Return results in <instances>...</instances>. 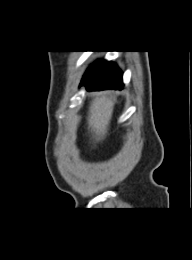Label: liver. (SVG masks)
<instances>
[{"instance_id":"liver-1","label":"liver","mask_w":192,"mask_h":260,"mask_svg":"<svg viewBox=\"0 0 192 260\" xmlns=\"http://www.w3.org/2000/svg\"><path fill=\"white\" fill-rule=\"evenodd\" d=\"M113 109L114 101L105 94H98L90 102L87 123L95 142L105 138Z\"/></svg>"}]
</instances>
